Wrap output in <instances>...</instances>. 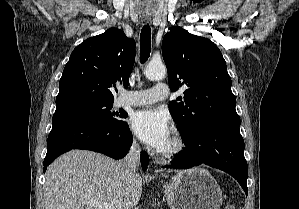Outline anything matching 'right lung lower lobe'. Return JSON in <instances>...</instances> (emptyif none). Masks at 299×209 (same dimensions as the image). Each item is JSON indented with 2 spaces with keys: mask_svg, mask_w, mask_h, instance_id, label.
Instances as JSON below:
<instances>
[{
  "mask_svg": "<svg viewBox=\"0 0 299 209\" xmlns=\"http://www.w3.org/2000/svg\"><path fill=\"white\" fill-rule=\"evenodd\" d=\"M52 124L43 163L44 172L58 156L72 149L96 151L114 159H121L127 154L133 139L125 122L109 126L72 112H55ZM147 163L148 155L142 152L143 170H146Z\"/></svg>",
  "mask_w": 299,
  "mask_h": 209,
  "instance_id": "98d812e1",
  "label": "right lung lower lobe"
}]
</instances>
